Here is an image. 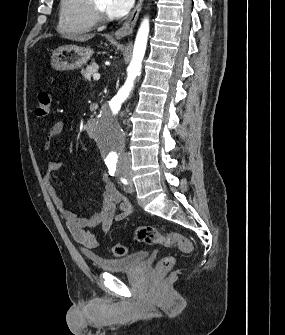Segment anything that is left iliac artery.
Here are the masks:
<instances>
[{"instance_id": "left-iliac-artery-1", "label": "left iliac artery", "mask_w": 285, "mask_h": 335, "mask_svg": "<svg viewBox=\"0 0 285 335\" xmlns=\"http://www.w3.org/2000/svg\"><path fill=\"white\" fill-rule=\"evenodd\" d=\"M121 181L124 183V184H127V181L125 179H121Z\"/></svg>"}]
</instances>
